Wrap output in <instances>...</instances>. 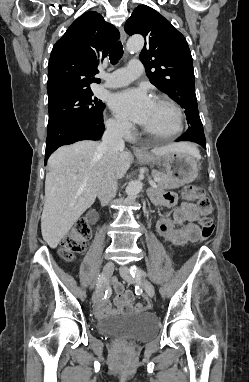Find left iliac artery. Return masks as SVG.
<instances>
[{
  "label": "left iliac artery",
  "mask_w": 249,
  "mask_h": 382,
  "mask_svg": "<svg viewBox=\"0 0 249 382\" xmlns=\"http://www.w3.org/2000/svg\"><path fill=\"white\" fill-rule=\"evenodd\" d=\"M130 273L133 278L139 279L141 276H146V273L136 266H132L130 269Z\"/></svg>",
  "instance_id": "44dca946"
}]
</instances>
